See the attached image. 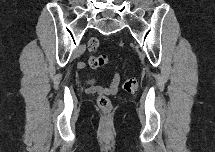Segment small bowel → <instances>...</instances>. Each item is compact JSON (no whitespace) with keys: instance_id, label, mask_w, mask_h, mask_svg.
I'll use <instances>...</instances> for the list:
<instances>
[{"instance_id":"small-bowel-1","label":"small bowel","mask_w":215,"mask_h":152,"mask_svg":"<svg viewBox=\"0 0 215 152\" xmlns=\"http://www.w3.org/2000/svg\"><path fill=\"white\" fill-rule=\"evenodd\" d=\"M120 84L119 75H115L108 86L97 85L94 80L89 79L83 84V89L87 94L100 95L115 93Z\"/></svg>"}]
</instances>
